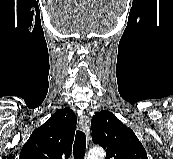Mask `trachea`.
I'll use <instances>...</instances> for the list:
<instances>
[{"label": "trachea", "instance_id": "1", "mask_svg": "<svg viewBox=\"0 0 173 159\" xmlns=\"http://www.w3.org/2000/svg\"><path fill=\"white\" fill-rule=\"evenodd\" d=\"M86 150V136L83 131L78 130L73 145L74 159H84Z\"/></svg>", "mask_w": 173, "mask_h": 159}]
</instances>
